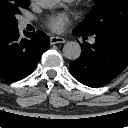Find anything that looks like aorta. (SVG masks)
I'll return each mask as SVG.
<instances>
[{"label":"aorta","instance_id":"obj_1","mask_svg":"<svg viewBox=\"0 0 128 128\" xmlns=\"http://www.w3.org/2000/svg\"><path fill=\"white\" fill-rule=\"evenodd\" d=\"M39 6L43 8H52L59 3L60 0H36ZM63 54L69 60H76L81 55L80 44L76 41H69L63 47Z\"/></svg>","mask_w":128,"mask_h":128}]
</instances>
